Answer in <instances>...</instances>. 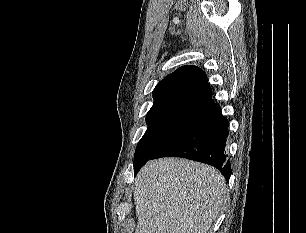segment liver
<instances>
[{"instance_id":"liver-1","label":"liver","mask_w":306,"mask_h":233,"mask_svg":"<svg viewBox=\"0 0 306 233\" xmlns=\"http://www.w3.org/2000/svg\"><path fill=\"white\" fill-rule=\"evenodd\" d=\"M226 190L225 178L211 166L175 158L149 161L135 179V233H207Z\"/></svg>"}]
</instances>
